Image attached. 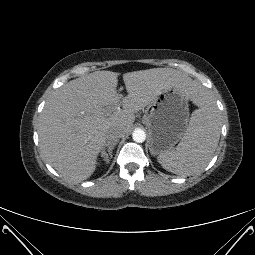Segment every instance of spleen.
Returning a JSON list of instances; mask_svg holds the SVG:
<instances>
[{
	"instance_id": "spleen-1",
	"label": "spleen",
	"mask_w": 255,
	"mask_h": 255,
	"mask_svg": "<svg viewBox=\"0 0 255 255\" xmlns=\"http://www.w3.org/2000/svg\"><path fill=\"white\" fill-rule=\"evenodd\" d=\"M198 105L177 147L157 157L161 166L169 172L190 175L203 170L218 146L221 121L217 105L206 92Z\"/></svg>"
}]
</instances>
